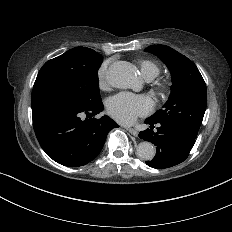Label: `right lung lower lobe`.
<instances>
[{"label": "right lung lower lobe", "instance_id": "obj_1", "mask_svg": "<svg viewBox=\"0 0 232 232\" xmlns=\"http://www.w3.org/2000/svg\"><path fill=\"white\" fill-rule=\"evenodd\" d=\"M31 104L41 147L64 166L78 167L92 161L103 148L108 132L119 127L108 116L94 118L104 109L102 102H83L69 84L49 73L39 71Z\"/></svg>", "mask_w": 232, "mask_h": 232}]
</instances>
